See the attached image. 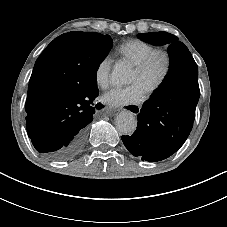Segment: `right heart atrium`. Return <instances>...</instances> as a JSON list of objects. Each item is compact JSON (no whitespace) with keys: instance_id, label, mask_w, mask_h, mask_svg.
Listing matches in <instances>:
<instances>
[{"instance_id":"right-heart-atrium-1","label":"right heart atrium","mask_w":227,"mask_h":227,"mask_svg":"<svg viewBox=\"0 0 227 227\" xmlns=\"http://www.w3.org/2000/svg\"><path fill=\"white\" fill-rule=\"evenodd\" d=\"M111 64L112 59L106 56L96 66L94 73L95 82L100 89H106L110 84Z\"/></svg>"}]
</instances>
